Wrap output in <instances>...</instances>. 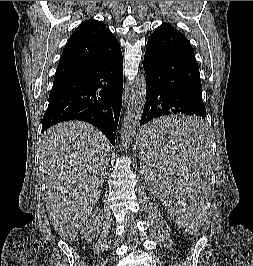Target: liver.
Here are the masks:
<instances>
[{
	"label": "liver",
	"mask_w": 253,
	"mask_h": 266,
	"mask_svg": "<svg viewBox=\"0 0 253 266\" xmlns=\"http://www.w3.org/2000/svg\"><path fill=\"white\" fill-rule=\"evenodd\" d=\"M109 152L107 138L85 122L60 123L44 133L40 166L47 188L46 210L65 240L74 241L98 202Z\"/></svg>",
	"instance_id": "obj_1"
}]
</instances>
